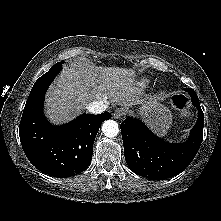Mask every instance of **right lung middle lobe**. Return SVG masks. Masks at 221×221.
<instances>
[{
    "instance_id": "obj_1",
    "label": "right lung middle lobe",
    "mask_w": 221,
    "mask_h": 221,
    "mask_svg": "<svg viewBox=\"0 0 221 221\" xmlns=\"http://www.w3.org/2000/svg\"><path fill=\"white\" fill-rule=\"evenodd\" d=\"M62 63L63 62H58L55 65L51 67V69L46 72L44 75H42L34 84V86L31 89V92H35L39 89L48 87L55 76L59 73V71L62 69Z\"/></svg>"
}]
</instances>
